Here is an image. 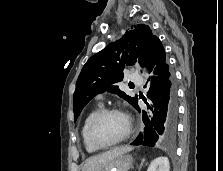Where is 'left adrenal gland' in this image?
<instances>
[{
    "mask_svg": "<svg viewBox=\"0 0 223 171\" xmlns=\"http://www.w3.org/2000/svg\"><path fill=\"white\" fill-rule=\"evenodd\" d=\"M144 162H145V159H142L140 168L142 167V165L144 164ZM140 168H139V169H140Z\"/></svg>",
    "mask_w": 223,
    "mask_h": 171,
    "instance_id": "1",
    "label": "left adrenal gland"
}]
</instances>
